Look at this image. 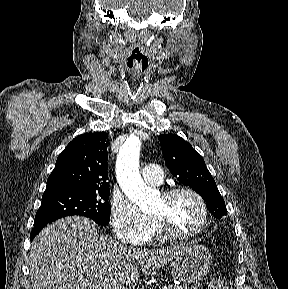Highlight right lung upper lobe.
<instances>
[{
	"mask_svg": "<svg viewBox=\"0 0 288 289\" xmlns=\"http://www.w3.org/2000/svg\"><path fill=\"white\" fill-rule=\"evenodd\" d=\"M108 134L85 133L73 139L57 158L47 179L46 190L109 187Z\"/></svg>",
	"mask_w": 288,
	"mask_h": 289,
	"instance_id": "obj_1",
	"label": "right lung upper lobe"
}]
</instances>
